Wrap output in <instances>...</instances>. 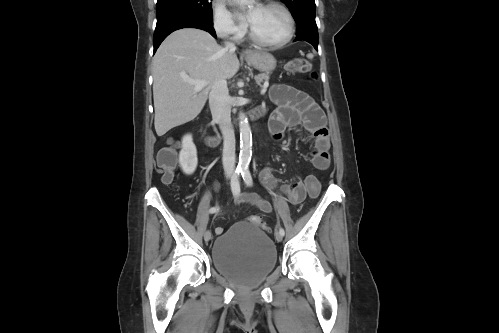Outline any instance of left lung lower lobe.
Returning <instances> with one entry per match:
<instances>
[{"label": "left lung lower lobe", "mask_w": 499, "mask_h": 333, "mask_svg": "<svg viewBox=\"0 0 499 333\" xmlns=\"http://www.w3.org/2000/svg\"><path fill=\"white\" fill-rule=\"evenodd\" d=\"M304 40L309 42L318 50V31L315 21H306L298 24L297 36L294 41Z\"/></svg>", "instance_id": "0a47b994"}]
</instances>
